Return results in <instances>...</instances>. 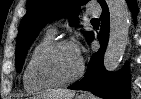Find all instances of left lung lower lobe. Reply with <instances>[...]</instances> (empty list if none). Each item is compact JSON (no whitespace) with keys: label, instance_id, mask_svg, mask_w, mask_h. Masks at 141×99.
Here are the masks:
<instances>
[{"label":"left lung lower lobe","instance_id":"1","mask_svg":"<svg viewBox=\"0 0 141 99\" xmlns=\"http://www.w3.org/2000/svg\"><path fill=\"white\" fill-rule=\"evenodd\" d=\"M130 10L135 15L138 10L135 0H127ZM101 30L98 40L100 49L94 53L88 64L84 78L74 85L69 86L72 90H87L104 99H129V74L127 67L120 72L112 73L105 70L103 54L109 37V10L107 4L102 7ZM93 33L88 41L93 40Z\"/></svg>","mask_w":141,"mask_h":99}]
</instances>
